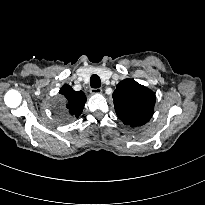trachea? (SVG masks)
<instances>
[{
	"mask_svg": "<svg viewBox=\"0 0 205 205\" xmlns=\"http://www.w3.org/2000/svg\"><path fill=\"white\" fill-rule=\"evenodd\" d=\"M90 85L92 88H99L101 85V80L98 75L93 74L90 78Z\"/></svg>",
	"mask_w": 205,
	"mask_h": 205,
	"instance_id": "trachea-1",
	"label": "trachea"
}]
</instances>
